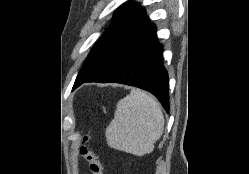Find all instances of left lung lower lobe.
I'll return each mask as SVG.
<instances>
[{
    "label": "left lung lower lobe",
    "instance_id": "0a47b994",
    "mask_svg": "<svg viewBox=\"0 0 249 174\" xmlns=\"http://www.w3.org/2000/svg\"><path fill=\"white\" fill-rule=\"evenodd\" d=\"M162 45L156 26L149 23L125 42L110 61L89 78L76 79L73 89L84 82L122 83L149 91L169 111V81L163 66Z\"/></svg>",
    "mask_w": 249,
    "mask_h": 174
}]
</instances>
